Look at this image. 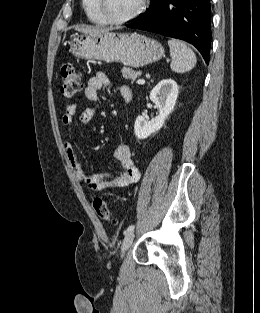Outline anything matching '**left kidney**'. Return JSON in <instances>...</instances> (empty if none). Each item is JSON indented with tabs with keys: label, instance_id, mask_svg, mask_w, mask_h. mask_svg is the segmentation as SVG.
Instances as JSON below:
<instances>
[{
	"label": "left kidney",
	"instance_id": "1",
	"mask_svg": "<svg viewBox=\"0 0 260 313\" xmlns=\"http://www.w3.org/2000/svg\"><path fill=\"white\" fill-rule=\"evenodd\" d=\"M179 89L173 79H163L150 92V100L157 106L159 115L150 121L138 116L134 124V133L138 139H146L159 131L168 115L174 110Z\"/></svg>",
	"mask_w": 260,
	"mask_h": 313
}]
</instances>
